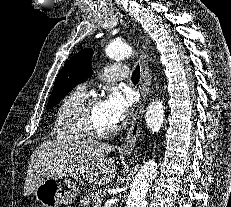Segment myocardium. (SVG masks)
I'll return each instance as SVG.
<instances>
[{
    "mask_svg": "<svg viewBox=\"0 0 231 207\" xmlns=\"http://www.w3.org/2000/svg\"><path fill=\"white\" fill-rule=\"evenodd\" d=\"M100 103L97 96H89L80 104L76 112V120L79 128L86 137L99 140L113 136L117 132V127L114 126L109 130H98L92 122V109L94 105Z\"/></svg>",
    "mask_w": 231,
    "mask_h": 207,
    "instance_id": "f54148a6",
    "label": "myocardium"
}]
</instances>
